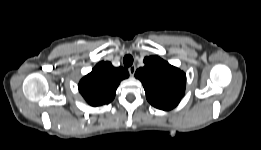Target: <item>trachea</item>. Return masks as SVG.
Returning a JSON list of instances; mask_svg holds the SVG:
<instances>
[{
  "label": "trachea",
  "instance_id": "trachea-1",
  "mask_svg": "<svg viewBox=\"0 0 261 150\" xmlns=\"http://www.w3.org/2000/svg\"><path fill=\"white\" fill-rule=\"evenodd\" d=\"M123 63L125 66H131L133 64V57L132 55H125L123 58Z\"/></svg>",
  "mask_w": 261,
  "mask_h": 150
}]
</instances>
